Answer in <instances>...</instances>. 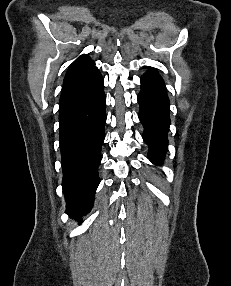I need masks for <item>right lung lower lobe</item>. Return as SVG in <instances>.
<instances>
[{"label":"right lung lower lobe","instance_id":"98d812e1","mask_svg":"<svg viewBox=\"0 0 231 286\" xmlns=\"http://www.w3.org/2000/svg\"><path fill=\"white\" fill-rule=\"evenodd\" d=\"M104 81L95 71L64 81L60 96V149L66 213L79 217L93 205L106 122Z\"/></svg>","mask_w":231,"mask_h":286}]
</instances>
